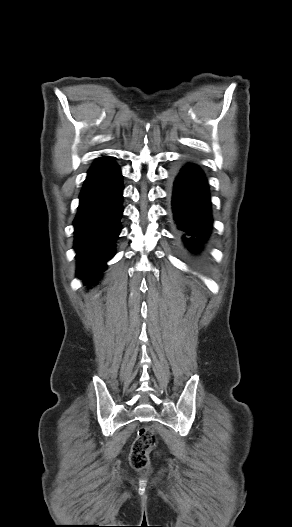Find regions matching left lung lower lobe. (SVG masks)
Segmentation results:
<instances>
[{"instance_id":"1","label":"left lung lower lobe","mask_w":292,"mask_h":527,"mask_svg":"<svg viewBox=\"0 0 292 527\" xmlns=\"http://www.w3.org/2000/svg\"><path fill=\"white\" fill-rule=\"evenodd\" d=\"M173 212L183 239L193 251H199L212 224L206 179L201 170L186 164L174 174Z\"/></svg>"}]
</instances>
